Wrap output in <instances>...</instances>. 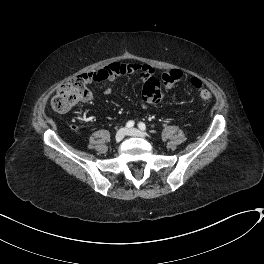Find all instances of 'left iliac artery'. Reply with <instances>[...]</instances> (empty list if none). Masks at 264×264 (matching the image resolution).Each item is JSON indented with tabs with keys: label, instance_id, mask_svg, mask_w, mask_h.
Here are the masks:
<instances>
[{
	"label": "left iliac artery",
	"instance_id": "1",
	"mask_svg": "<svg viewBox=\"0 0 264 264\" xmlns=\"http://www.w3.org/2000/svg\"><path fill=\"white\" fill-rule=\"evenodd\" d=\"M138 127H139V129H141V130H146V125H145L143 122H140V123L138 124Z\"/></svg>",
	"mask_w": 264,
	"mask_h": 264
}]
</instances>
